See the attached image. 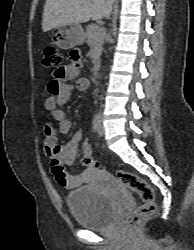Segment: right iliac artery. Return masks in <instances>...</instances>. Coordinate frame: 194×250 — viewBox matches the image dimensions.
Segmentation results:
<instances>
[{
    "instance_id": "1",
    "label": "right iliac artery",
    "mask_w": 194,
    "mask_h": 250,
    "mask_svg": "<svg viewBox=\"0 0 194 250\" xmlns=\"http://www.w3.org/2000/svg\"><path fill=\"white\" fill-rule=\"evenodd\" d=\"M92 125H93V130L97 131L99 128V125H100V115L99 114L94 115Z\"/></svg>"
}]
</instances>
